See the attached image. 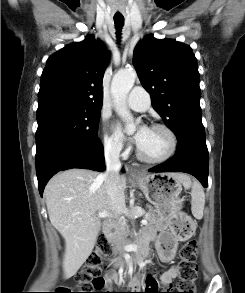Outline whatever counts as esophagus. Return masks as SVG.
Returning a JSON list of instances; mask_svg holds the SVG:
<instances>
[{
	"label": "esophagus",
	"instance_id": "34e87169",
	"mask_svg": "<svg viewBox=\"0 0 245 293\" xmlns=\"http://www.w3.org/2000/svg\"><path fill=\"white\" fill-rule=\"evenodd\" d=\"M129 174L131 176H137V175H139V172L136 169L131 168V169H129Z\"/></svg>",
	"mask_w": 245,
	"mask_h": 293
}]
</instances>
